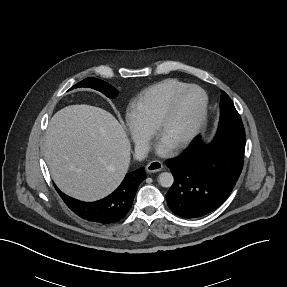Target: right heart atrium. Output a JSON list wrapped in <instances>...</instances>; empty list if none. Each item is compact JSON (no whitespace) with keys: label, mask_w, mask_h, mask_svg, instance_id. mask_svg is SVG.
I'll return each mask as SVG.
<instances>
[{"label":"right heart atrium","mask_w":287,"mask_h":287,"mask_svg":"<svg viewBox=\"0 0 287 287\" xmlns=\"http://www.w3.org/2000/svg\"><path fill=\"white\" fill-rule=\"evenodd\" d=\"M126 125L133 141L141 150H144L151 137V132L138 124L130 114L126 118Z\"/></svg>","instance_id":"d8ad5b80"}]
</instances>
